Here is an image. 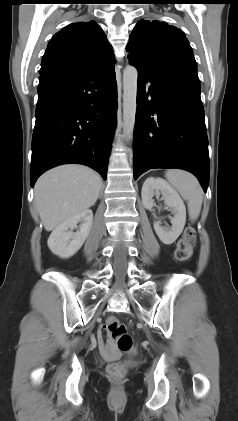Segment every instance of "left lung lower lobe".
<instances>
[{
    "label": "left lung lower lobe",
    "instance_id": "left-lung-lower-lobe-1",
    "mask_svg": "<svg viewBox=\"0 0 238 421\" xmlns=\"http://www.w3.org/2000/svg\"><path fill=\"white\" fill-rule=\"evenodd\" d=\"M154 168L190 171L207 191L208 138L197 71L157 76L138 70L134 179Z\"/></svg>",
    "mask_w": 238,
    "mask_h": 421
}]
</instances>
